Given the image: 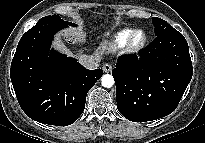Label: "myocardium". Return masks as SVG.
I'll list each match as a JSON object with an SVG mask.
<instances>
[{"label":"myocardium","instance_id":"myocardium-1","mask_svg":"<svg viewBox=\"0 0 205 143\" xmlns=\"http://www.w3.org/2000/svg\"><path fill=\"white\" fill-rule=\"evenodd\" d=\"M138 34H142V39L140 41L136 40ZM148 42V35L142 29L133 30L130 34L128 41L126 43V49L130 53H138L146 46Z\"/></svg>","mask_w":205,"mask_h":143}]
</instances>
